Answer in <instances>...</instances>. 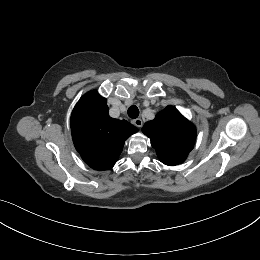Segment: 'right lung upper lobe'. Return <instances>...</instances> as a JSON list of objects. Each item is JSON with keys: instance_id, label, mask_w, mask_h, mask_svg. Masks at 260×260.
<instances>
[{"instance_id": "right-lung-upper-lobe-1", "label": "right lung upper lobe", "mask_w": 260, "mask_h": 260, "mask_svg": "<svg viewBox=\"0 0 260 260\" xmlns=\"http://www.w3.org/2000/svg\"><path fill=\"white\" fill-rule=\"evenodd\" d=\"M106 99L96 91L82 96L71 115V133L83 161L95 170H109L118 161L125 140L138 129L111 118Z\"/></svg>"}]
</instances>
